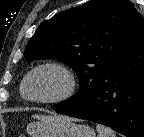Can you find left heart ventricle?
I'll return each mask as SVG.
<instances>
[{
    "instance_id": "left-heart-ventricle-1",
    "label": "left heart ventricle",
    "mask_w": 144,
    "mask_h": 137,
    "mask_svg": "<svg viewBox=\"0 0 144 137\" xmlns=\"http://www.w3.org/2000/svg\"><path fill=\"white\" fill-rule=\"evenodd\" d=\"M65 87L63 76L54 70H43L31 77L26 86V95L34 98H50Z\"/></svg>"
}]
</instances>
